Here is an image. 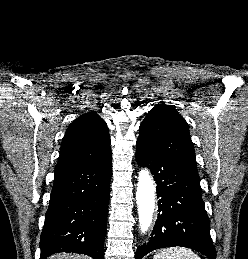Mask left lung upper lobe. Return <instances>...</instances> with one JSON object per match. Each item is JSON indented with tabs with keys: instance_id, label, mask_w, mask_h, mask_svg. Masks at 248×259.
<instances>
[{
	"instance_id": "left-lung-upper-lobe-1",
	"label": "left lung upper lobe",
	"mask_w": 248,
	"mask_h": 259,
	"mask_svg": "<svg viewBox=\"0 0 248 259\" xmlns=\"http://www.w3.org/2000/svg\"><path fill=\"white\" fill-rule=\"evenodd\" d=\"M137 141L199 178L188 125L172 106L152 108L140 125Z\"/></svg>"
}]
</instances>
